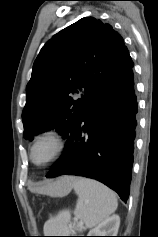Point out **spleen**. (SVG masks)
<instances>
[{"label": "spleen", "mask_w": 158, "mask_h": 237, "mask_svg": "<svg viewBox=\"0 0 158 237\" xmlns=\"http://www.w3.org/2000/svg\"><path fill=\"white\" fill-rule=\"evenodd\" d=\"M73 188L78 196L73 221L69 210H61L44 224L45 235L68 236L75 233L76 228H93L117 209L115 193L100 182L79 177Z\"/></svg>", "instance_id": "1"}]
</instances>
